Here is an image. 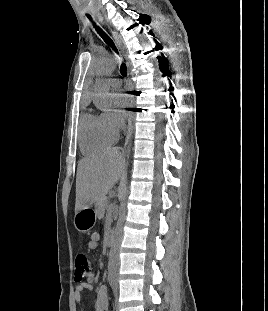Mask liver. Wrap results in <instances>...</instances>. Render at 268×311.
I'll use <instances>...</instances> for the list:
<instances>
[{
  "instance_id": "obj_1",
  "label": "liver",
  "mask_w": 268,
  "mask_h": 311,
  "mask_svg": "<svg viewBox=\"0 0 268 311\" xmlns=\"http://www.w3.org/2000/svg\"><path fill=\"white\" fill-rule=\"evenodd\" d=\"M122 166L123 157L118 148L83 158L77 168L75 212L103 198L118 182Z\"/></svg>"
}]
</instances>
